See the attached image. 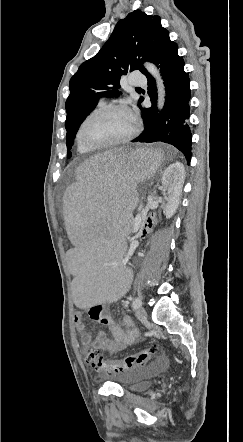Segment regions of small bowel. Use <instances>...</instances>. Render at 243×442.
I'll use <instances>...</instances> for the list:
<instances>
[{
	"label": "small bowel",
	"instance_id": "obj_1",
	"mask_svg": "<svg viewBox=\"0 0 243 442\" xmlns=\"http://www.w3.org/2000/svg\"><path fill=\"white\" fill-rule=\"evenodd\" d=\"M89 315L93 320L106 325L113 338H109L104 331H98L95 337L92 338V335L86 329L83 314L77 313L74 322L83 346L91 345L97 350L117 353L134 343L139 336L138 331L134 328L133 320L129 317L123 318L124 327H121L111 317L103 315V307H90Z\"/></svg>",
	"mask_w": 243,
	"mask_h": 442
}]
</instances>
